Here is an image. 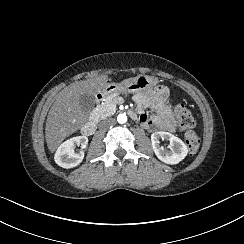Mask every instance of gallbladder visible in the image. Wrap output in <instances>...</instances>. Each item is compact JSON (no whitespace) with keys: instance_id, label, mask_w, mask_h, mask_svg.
I'll return each mask as SVG.
<instances>
[{"instance_id":"gallbladder-1","label":"gallbladder","mask_w":244,"mask_h":244,"mask_svg":"<svg viewBox=\"0 0 244 244\" xmlns=\"http://www.w3.org/2000/svg\"><path fill=\"white\" fill-rule=\"evenodd\" d=\"M96 103V98L94 94L84 93L79 97V104L81 106V110L87 114H89Z\"/></svg>"}]
</instances>
